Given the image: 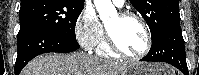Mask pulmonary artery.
I'll return each mask as SVG.
<instances>
[{
  "mask_svg": "<svg viewBox=\"0 0 199 75\" xmlns=\"http://www.w3.org/2000/svg\"><path fill=\"white\" fill-rule=\"evenodd\" d=\"M113 3L117 6V7H122L124 5V1L123 0H114Z\"/></svg>",
  "mask_w": 199,
  "mask_h": 75,
  "instance_id": "1",
  "label": "pulmonary artery"
}]
</instances>
